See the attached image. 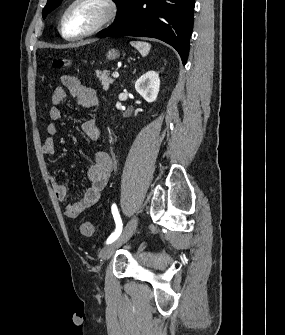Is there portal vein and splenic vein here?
<instances>
[{"label": "portal vein and splenic vein", "instance_id": "18ae733b", "mask_svg": "<svg viewBox=\"0 0 285 335\" xmlns=\"http://www.w3.org/2000/svg\"><path fill=\"white\" fill-rule=\"evenodd\" d=\"M113 78H119V74L118 72H114V74H112Z\"/></svg>", "mask_w": 285, "mask_h": 335}]
</instances>
